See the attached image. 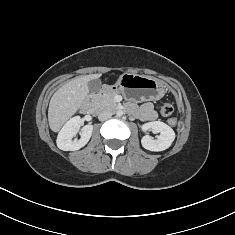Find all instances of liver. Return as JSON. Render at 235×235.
<instances>
[{
  "instance_id": "6515ba94",
  "label": "liver",
  "mask_w": 235,
  "mask_h": 235,
  "mask_svg": "<svg viewBox=\"0 0 235 235\" xmlns=\"http://www.w3.org/2000/svg\"><path fill=\"white\" fill-rule=\"evenodd\" d=\"M101 74L75 77L62 85L51 97L48 108V122L53 132H58L83 105L89 94L88 82Z\"/></svg>"
}]
</instances>
